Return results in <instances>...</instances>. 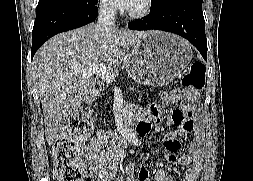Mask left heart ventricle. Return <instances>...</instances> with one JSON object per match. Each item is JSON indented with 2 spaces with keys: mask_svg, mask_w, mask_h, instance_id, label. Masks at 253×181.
<instances>
[{
  "mask_svg": "<svg viewBox=\"0 0 253 181\" xmlns=\"http://www.w3.org/2000/svg\"><path fill=\"white\" fill-rule=\"evenodd\" d=\"M143 5V0H139L138 3L136 4V6L130 10V11H136V10H139Z\"/></svg>",
  "mask_w": 253,
  "mask_h": 181,
  "instance_id": "b2bd125f",
  "label": "left heart ventricle"
}]
</instances>
